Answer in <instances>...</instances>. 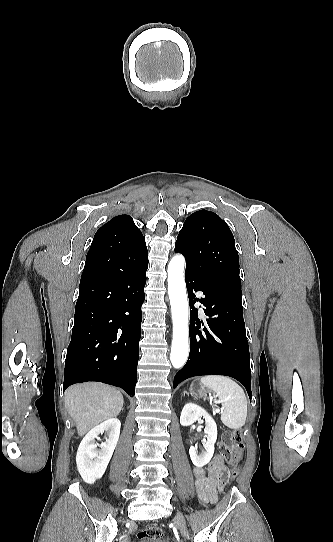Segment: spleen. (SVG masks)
<instances>
[{
  "mask_svg": "<svg viewBox=\"0 0 333 542\" xmlns=\"http://www.w3.org/2000/svg\"><path fill=\"white\" fill-rule=\"evenodd\" d=\"M200 382L203 388L216 394L222 406V424L230 430H240L248 414L247 398L243 388L227 376H204Z\"/></svg>",
  "mask_w": 333,
  "mask_h": 542,
  "instance_id": "spleen-1",
  "label": "spleen"
}]
</instances>
